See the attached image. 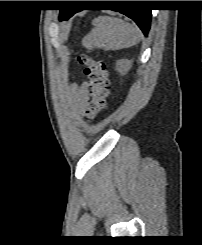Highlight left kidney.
Wrapping results in <instances>:
<instances>
[{
    "instance_id": "obj_1",
    "label": "left kidney",
    "mask_w": 202,
    "mask_h": 245,
    "mask_svg": "<svg viewBox=\"0 0 202 245\" xmlns=\"http://www.w3.org/2000/svg\"><path fill=\"white\" fill-rule=\"evenodd\" d=\"M132 62L127 59H121L116 62V70L121 74L125 75L131 68Z\"/></svg>"
}]
</instances>
